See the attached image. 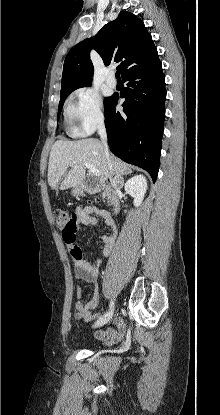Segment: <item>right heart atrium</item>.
I'll use <instances>...</instances> for the list:
<instances>
[{"label":"right heart atrium","instance_id":"1","mask_svg":"<svg viewBox=\"0 0 220 415\" xmlns=\"http://www.w3.org/2000/svg\"><path fill=\"white\" fill-rule=\"evenodd\" d=\"M67 119L72 133L88 135L104 126L103 103L100 95L90 87L78 89L67 106Z\"/></svg>","mask_w":220,"mask_h":415}]
</instances>
